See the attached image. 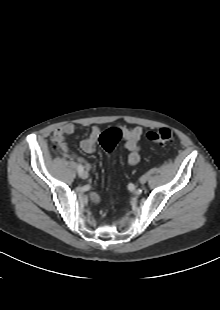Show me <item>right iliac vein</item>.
<instances>
[{
    "label": "right iliac vein",
    "mask_w": 220,
    "mask_h": 310,
    "mask_svg": "<svg viewBox=\"0 0 220 310\" xmlns=\"http://www.w3.org/2000/svg\"><path fill=\"white\" fill-rule=\"evenodd\" d=\"M80 176H81L82 179H87L88 178V173L86 171H83Z\"/></svg>",
    "instance_id": "63e3f726"
}]
</instances>
